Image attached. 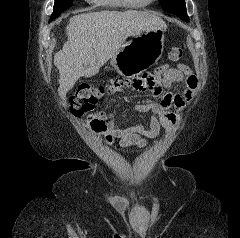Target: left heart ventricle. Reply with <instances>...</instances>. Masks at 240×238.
<instances>
[{
  "mask_svg": "<svg viewBox=\"0 0 240 238\" xmlns=\"http://www.w3.org/2000/svg\"><path fill=\"white\" fill-rule=\"evenodd\" d=\"M132 1H147V0H132Z\"/></svg>",
  "mask_w": 240,
  "mask_h": 238,
  "instance_id": "left-heart-ventricle-1",
  "label": "left heart ventricle"
}]
</instances>
